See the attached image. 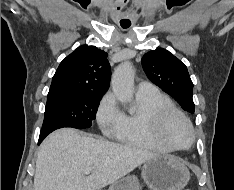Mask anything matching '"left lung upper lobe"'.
<instances>
[{
	"mask_svg": "<svg viewBox=\"0 0 234 190\" xmlns=\"http://www.w3.org/2000/svg\"><path fill=\"white\" fill-rule=\"evenodd\" d=\"M142 67L148 78L174 97L182 108L194 113L193 83L187 67L165 49H156L142 58Z\"/></svg>",
	"mask_w": 234,
	"mask_h": 190,
	"instance_id": "5c2ea615",
	"label": "left lung upper lobe"
}]
</instances>
